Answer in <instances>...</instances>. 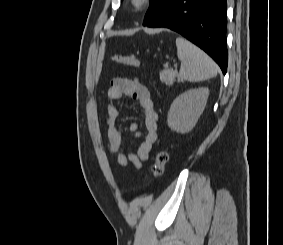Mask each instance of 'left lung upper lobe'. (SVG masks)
I'll use <instances>...</instances> for the list:
<instances>
[{"mask_svg":"<svg viewBox=\"0 0 283 245\" xmlns=\"http://www.w3.org/2000/svg\"><path fill=\"white\" fill-rule=\"evenodd\" d=\"M173 0H151L150 7L144 18L143 25H147L157 16H159Z\"/></svg>","mask_w":283,"mask_h":245,"instance_id":"5c2ea615","label":"left lung upper lobe"}]
</instances>
